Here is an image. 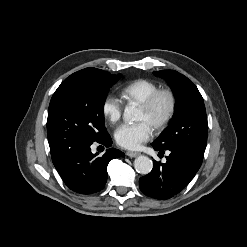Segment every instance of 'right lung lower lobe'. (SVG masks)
<instances>
[{"mask_svg": "<svg viewBox=\"0 0 247 247\" xmlns=\"http://www.w3.org/2000/svg\"><path fill=\"white\" fill-rule=\"evenodd\" d=\"M97 143L110 147L112 140L108 133ZM93 143V142H92ZM92 143H77L51 154L53 164L65 184L75 192L92 194L101 190L107 181V165L124 153L109 148L102 156L91 152Z\"/></svg>", "mask_w": 247, "mask_h": 247, "instance_id": "right-lung-lower-lobe-1", "label": "right lung lower lobe"}]
</instances>
